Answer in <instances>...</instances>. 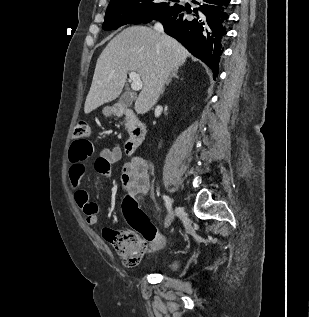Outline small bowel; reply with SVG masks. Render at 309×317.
I'll return each instance as SVG.
<instances>
[{
  "label": "small bowel",
  "instance_id": "obj_1",
  "mask_svg": "<svg viewBox=\"0 0 309 317\" xmlns=\"http://www.w3.org/2000/svg\"><path fill=\"white\" fill-rule=\"evenodd\" d=\"M75 153L77 158L70 157V166L68 170V179L71 187L74 189V201L83 211L86 222L89 225H95L100 212L99 205L90 198L89 192L81 188V182L86 171V160L92 152L88 153L86 145L79 146ZM122 150L119 145L105 147L99 152L95 160V170L109 178L111 176V165L120 160ZM121 186L129 194L147 193L149 190L148 164L142 158H133L128 161L122 169Z\"/></svg>",
  "mask_w": 309,
  "mask_h": 317
}]
</instances>
